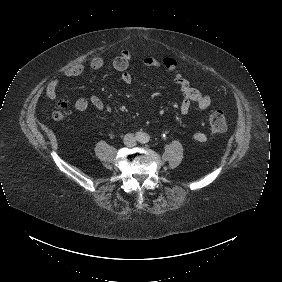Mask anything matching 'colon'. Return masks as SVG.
<instances>
[{"mask_svg": "<svg viewBox=\"0 0 282 282\" xmlns=\"http://www.w3.org/2000/svg\"><path fill=\"white\" fill-rule=\"evenodd\" d=\"M176 68V63L172 59H166L165 60V69L167 71H174ZM62 114L59 111H56L53 113V118L54 120H61L62 119ZM227 124H226V119L223 115V113L215 109L211 111L209 115V128L211 132L213 133H221L226 130Z\"/></svg>", "mask_w": 282, "mask_h": 282, "instance_id": "obj_1", "label": "colon"}]
</instances>
